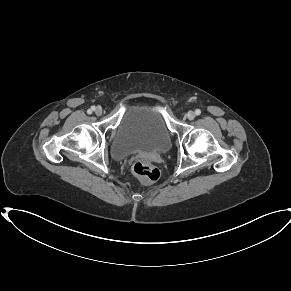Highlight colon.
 Returning <instances> with one entry per match:
<instances>
[{"label":"colon","mask_w":291,"mask_h":291,"mask_svg":"<svg viewBox=\"0 0 291 291\" xmlns=\"http://www.w3.org/2000/svg\"><path fill=\"white\" fill-rule=\"evenodd\" d=\"M133 172L145 183H153L160 176V172L155 166L143 161H136L134 163Z\"/></svg>","instance_id":"5ec220e1"}]
</instances>
